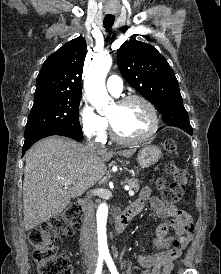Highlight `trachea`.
<instances>
[{"mask_svg":"<svg viewBox=\"0 0 221 274\" xmlns=\"http://www.w3.org/2000/svg\"><path fill=\"white\" fill-rule=\"evenodd\" d=\"M115 21V17L111 15H106L103 20V25L105 29H111Z\"/></svg>","mask_w":221,"mask_h":274,"instance_id":"trachea-1","label":"trachea"}]
</instances>
